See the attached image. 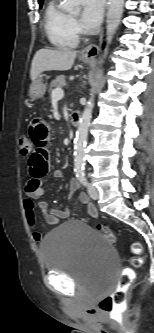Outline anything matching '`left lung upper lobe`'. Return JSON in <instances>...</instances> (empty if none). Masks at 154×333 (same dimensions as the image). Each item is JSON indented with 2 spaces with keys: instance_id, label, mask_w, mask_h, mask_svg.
<instances>
[{
  "instance_id": "1",
  "label": "left lung upper lobe",
  "mask_w": 154,
  "mask_h": 333,
  "mask_svg": "<svg viewBox=\"0 0 154 333\" xmlns=\"http://www.w3.org/2000/svg\"><path fill=\"white\" fill-rule=\"evenodd\" d=\"M40 8L42 7L43 0H38Z\"/></svg>"
}]
</instances>
